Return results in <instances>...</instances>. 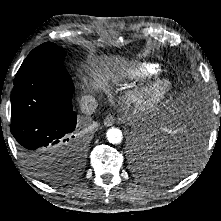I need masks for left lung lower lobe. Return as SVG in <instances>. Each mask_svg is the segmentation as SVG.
I'll use <instances>...</instances> for the list:
<instances>
[{
    "instance_id": "1",
    "label": "left lung lower lobe",
    "mask_w": 221,
    "mask_h": 221,
    "mask_svg": "<svg viewBox=\"0 0 221 221\" xmlns=\"http://www.w3.org/2000/svg\"><path fill=\"white\" fill-rule=\"evenodd\" d=\"M198 126L203 127L202 123H199ZM198 130L200 129L194 128L190 130L191 136L185 137L184 142L168 149L170 160L165 165L157 161L156 155L159 149H164V146L168 147L169 145H165L158 133L134 136L131 141L133 154L138 158L147 160L151 168L157 169L152 173L144 172L145 177L157 184H168L182 177L197 158V152H195L193 146L198 139Z\"/></svg>"
}]
</instances>
